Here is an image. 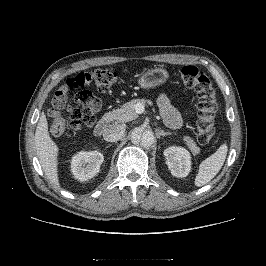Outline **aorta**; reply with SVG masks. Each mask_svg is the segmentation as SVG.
<instances>
[{
	"label": "aorta",
	"mask_w": 266,
	"mask_h": 266,
	"mask_svg": "<svg viewBox=\"0 0 266 266\" xmlns=\"http://www.w3.org/2000/svg\"><path fill=\"white\" fill-rule=\"evenodd\" d=\"M131 141L134 144H140L145 148H149L155 142V136L151 130L135 128L131 133Z\"/></svg>",
	"instance_id": "1"
}]
</instances>
